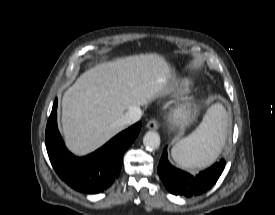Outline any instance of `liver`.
Wrapping results in <instances>:
<instances>
[{"label":"liver","mask_w":275,"mask_h":215,"mask_svg":"<svg viewBox=\"0 0 275 215\" xmlns=\"http://www.w3.org/2000/svg\"><path fill=\"white\" fill-rule=\"evenodd\" d=\"M173 70L164 57L140 54L95 65L64 93L62 131L67 147L85 155L124 129L117 121L167 88Z\"/></svg>","instance_id":"6515ba94"}]
</instances>
